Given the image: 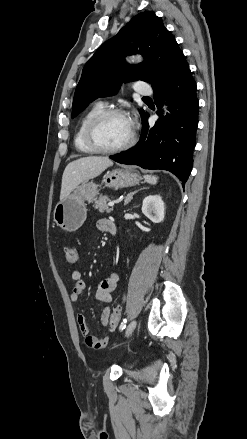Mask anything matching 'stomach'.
<instances>
[{
	"mask_svg": "<svg viewBox=\"0 0 247 439\" xmlns=\"http://www.w3.org/2000/svg\"><path fill=\"white\" fill-rule=\"evenodd\" d=\"M141 180L139 173L131 167L107 171L103 183L110 188H124L137 185ZM98 185L85 181L63 200H60L53 211L54 222L63 230L74 232L78 230L87 216L85 202L96 200Z\"/></svg>",
	"mask_w": 247,
	"mask_h": 439,
	"instance_id": "0dacf381",
	"label": "stomach"
}]
</instances>
